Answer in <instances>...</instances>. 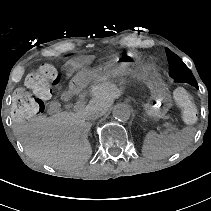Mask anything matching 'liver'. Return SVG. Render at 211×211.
I'll use <instances>...</instances> for the list:
<instances>
[{
  "label": "liver",
  "mask_w": 211,
  "mask_h": 211,
  "mask_svg": "<svg viewBox=\"0 0 211 211\" xmlns=\"http://www.w3.org/2000/svg\"><path fill=\"white\" fill-rule=\"evenodd\" d=\"M76 77L70 85L83 76ZM92 95L90 105L106 112L120 96V90L114 84L99 85L94 87ZM91 126L81 109L72 115L59 112L50 117L32 118L29 122L19 121L13 131L30 158L54 168L71 170L85 164L92 153L87 139Z\"/></svg>",
  "instance_id": "6515ba94"
}]
</instances>
